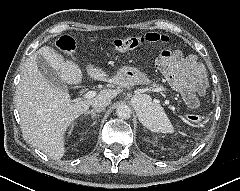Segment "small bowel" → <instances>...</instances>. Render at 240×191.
<instances>
[{"mask_svg": "<svg viewBox=\"0 0 240 191\" xmlns=\"http://www.w3.org/2000/svg\"><path fill=\"white\" fill-rule=\"evenodd\" d=\"M164 73L170 85L179 91L187 105L191 108L198 106V96L205 94L208 82L204 66L193 54L183 57L177 51L171 54Z\"/></svg>", "mask_w": 240, "mask_h": 191, "instance_id": "obj_1", "label": "small bowel"}]
</instances>
